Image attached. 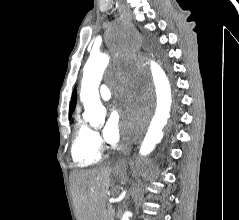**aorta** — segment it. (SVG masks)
<instances>
[{"instance_id":"762f6f07","label":"aorta","mask_w":239,"mask_h":220,"mask_svg":"<svg viewBox=\"0 0 239 220\" xmlns=\"http://www.w3.org/2000/svg\"><path fill=\"white\" fill-rule=\"evenodd\" d=\"M114 39L133 40V36L132 33H115ZM118 46L134 45H112V48H118ZM144 60H148L149 70L146 72L149 73L155 86L157 105L139 150L141 156L149 155L160 142L163 129L170 117L172 102L170 83L162 65L151 57H144ZM108 64L109 55L100 53L91 55L84 67L80 99L85 108V119L92 126L101 124L106 115V109L100 101L98 88ZM121 220H130V212L125 211Z\"/></svg>"}]
</instances>
